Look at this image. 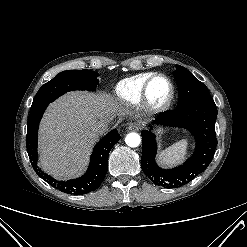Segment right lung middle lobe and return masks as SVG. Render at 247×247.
I'll return each instance as SVG.
<instances>
[{
	"instance_id": "dd1d6c3e",
	"label": "right lung middle lobe",
	"mask_w": 247,
	"mask_h": 247,
	"mask_svg": "<svg viewBox=\"0 0 247 247\" xmlns=\"http://www.w3.org/2000/svg\"><path fill=\"white\" fill-rule=\"evenodd\" d=\"M97 75L96 72L90 70H67L59 73L39 89L30 110L48 105L71 90H96Z\"/></svg>"
}]
</instances>
